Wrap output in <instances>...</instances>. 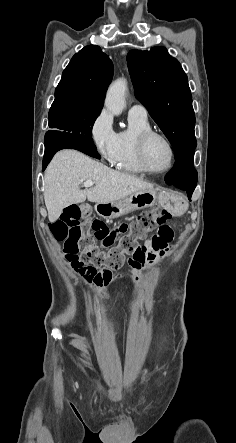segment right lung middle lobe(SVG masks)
<instances>
[{
    "mask_svg": "<svg viewBox=\"0 0 236 443\" xmlns=\"http://www.w3.org/2000/svg\"><path fill=\"white\" fill-rule=\"evenodd\" d=\"M101 110L78 108L67 104L52 105L49 111L50 130L46 136L77 137L93 143L92 127Z\"/></svg>",
    "mask_w": 236,
    "mask_h": 443,
    "instance_id": "1",
    "label": "right lung middle lobe"
}]
</instances>
